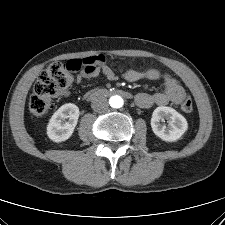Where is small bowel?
Instances as JSON below:
<instances>
[{"mask_svg": "<svg viewBox=\"0 0 225 225\" xmlns=\"http://www.w3.org/2000/svg\"><path fill=\"white\" fill-rule=\"evenodd\" d=\"M151 75L148 79H157L154 73L158 72L157 69H150ZM102 75L108 80H116L117 75L111 69L109 65L106 64L105 58L100 55L99 63L91 71H82L77 75V81L82 82L86 78L96 77ZM122 76L128 81H138L142 76L135 71H125ZM62 95H68V92H63ZM186 96L185 89L181 82L176 78H168L163 83V88L161 91L156 93H145L140 92L135 96V102L137 106L141 108H150L152 106H163L168 103L180 104L183 98Z\"/></svg>", "mask_w": 225, "mask_h": 225, "instance_id": "obj_1", "label": "small bowel"}]
</instances>
